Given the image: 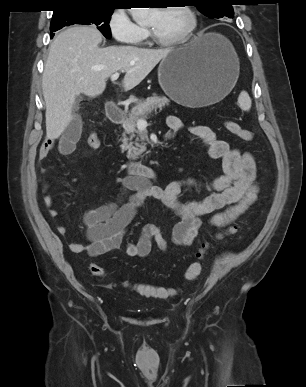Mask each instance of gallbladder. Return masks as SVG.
Returning <instances> with one entry per match:
<instances>
[{"mask_svg": "<svg viewBox=\"0 0 306 387\" xmlns=\"http://www.w3.org/2000/svg\"><path fill=\"white\" fill-rule=\"evenodd\" d=\"M79 102H80V97H77L76 100H75V104H74V107H75V108L78 107Z\"/></svg>", "mask_w": 306, "mask_h": 387, "instance_id": "1", "label": "gallbladder"}]
</instances>
